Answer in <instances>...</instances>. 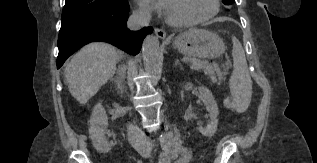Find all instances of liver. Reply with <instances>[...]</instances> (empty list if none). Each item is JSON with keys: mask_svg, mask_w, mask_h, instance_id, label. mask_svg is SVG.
Here are the masks:
<instances>
[{"mask_svg": "<svg viewBox=\"0 0 317 163\" xmlns=\"http://www.w3.org/2000/svg\"><path fill=\"white\" fill-rule=\"evenodd\" d=\"M121 53L110 44L96 42L78 51L65 68V81L71 95L86 104L113 76Z\"/></svg>", "mask_w": 317, "mask_h": 163, "instance_id": "obj_1", "label": "liver"}]
</instances>
